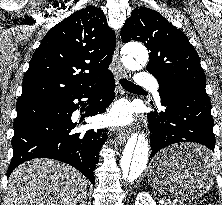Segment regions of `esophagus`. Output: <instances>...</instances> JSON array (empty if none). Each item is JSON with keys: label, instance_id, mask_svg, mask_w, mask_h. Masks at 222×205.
Returning a JSON list of instances; mask_svg holds the SVG:
<instances>
[{"label": "esophagus", "instance_id": "obj_1", "mask_svg": "<svg viewBox=\"0 0 222 205\" xmlns=\"http://www.w3.org/2000/svg\"><path fill=\"white\" fill-rule=\"evenodd\" d=\"M116 63H117V79L121 78V77H128L130 76L129 72L121 65L120 61H119V46H117L116 49ZM129 134V131L127 129H119L118 130V137H117V141L118 144H124L127 136Z\"/></svg>", "mask_w": 222, "mask_h": 205}]
</instances>
